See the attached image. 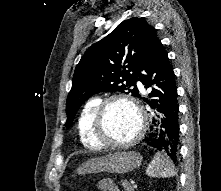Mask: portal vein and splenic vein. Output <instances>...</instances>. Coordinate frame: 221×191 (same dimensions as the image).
Listing matches in <instances>:
<instances>
[{"mask_svg":"<svg viewBox=\"0 0 221 191\" xmlns=\"http://www.w3.org/2000/svg\"><path fill=\"white\" fill-rule=\"evenodd\" d=\"M131 183L133 184L134 188H137V185L135 184L134 181H131Z\"/></svg>","mask_w":221,"mask_h":191,"instance_id":"obj_1","label":"portal vein and splenic vein"}]
</instances>
